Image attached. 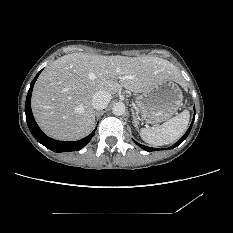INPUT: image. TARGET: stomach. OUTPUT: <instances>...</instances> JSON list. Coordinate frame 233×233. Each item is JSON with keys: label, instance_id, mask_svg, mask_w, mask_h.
I'll return each instance as SVG.
<instances>
[{"label": "stomach", "instance_id": "1", "mask_svg": "<svg viewBox=\"0 0 233 233\" xmlns=\"http://www.w3.org/2000/svg\"><path fill=\"white\" fill-rule=\"evenodd\" d=\"M182 100V90L176 81L168 80L143 92L136 98V104L146 122L158 124L172 117L182 105Z\"/></svg>", "mask_w": 233, "mask_h": 233}]
</instances>
